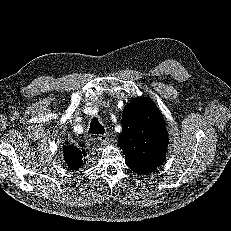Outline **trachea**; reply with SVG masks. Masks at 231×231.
<instances>
[{
  "mask_svg": "<svg viewBox=\"0 0 231 231\" xmlns=\"http://www.w3.org/2000/svg\"><path fill=\"white\" fill-rule=\"evenodd\" d=\"M90 134H104L105 129L104 127L100 124L98 118L94 117L91 121L90 128L88 131Z\"/></svg>",
  "mask_w": 231,
  "mask_h": 231,
  "instance_id": "obj_1",
  "label": "trachea"
}]
</instances>
